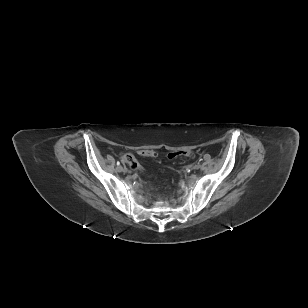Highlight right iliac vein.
<instances>
[{
	"mask_svg": "<svg viewBox=\"0 0 308 308\" xmlns=\"http://www.w3.org/2000/svg\"><path fill=\"white\" fill-rule=\"evenodd\" d=\"M117 170H118L119 172H127V171H128L127 168L122 167V166H119V167L117 168Z\"/></svg>",
	"mask_w": 308,
	"mask_h": 308,
	"instance_id": "63e3f726",
	"label": "right iliac vein"
}]
</instances>
